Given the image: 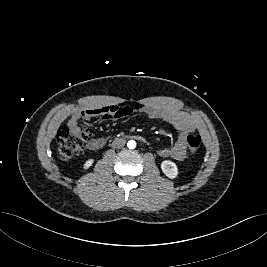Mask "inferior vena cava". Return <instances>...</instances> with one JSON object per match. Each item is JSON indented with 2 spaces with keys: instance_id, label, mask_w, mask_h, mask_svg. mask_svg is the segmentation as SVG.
<instances>
[{
  "instance_id": "602c4592",
  "label": "inferior vena cava",
  "mask_w": 267,
  "mask_h": 267,
  "mask_svg": "<svg viewBox=\"0 0 267 267\" xmlns=\"http://www.w3.org/2000/svg\"><path fill=\"white\" fill-rule=\"evenodd\" d=\"M126 141L124 139H115L113 142H112V147L113 148H122L124 145H125Z\"/></svg>"
}]
</instances>
